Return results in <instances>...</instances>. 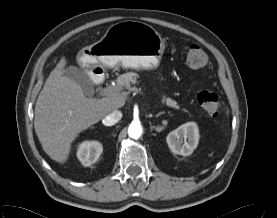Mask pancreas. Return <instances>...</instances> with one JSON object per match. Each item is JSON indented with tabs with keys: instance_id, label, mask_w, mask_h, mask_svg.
<instances>
[{
	"instance_id": "1",
	"label": "pancreas",
	"mask_w": 277,
	"mask_h": 218,
	"mask_svg": "<svg viewBox=\"0 0 277 218\" xmlns=\"http://www.w3.org/2000/svg\"><path fill=\"white\" fill-rule=\"evenodd\" d=\"M138 77L139 75L134 72L124 73L119 77H117V80H116L117 86L115 88H117L118 90H121L122 88H126L128 90H134V88L131 87V85L138 83L137 82ZM160 97H161V102L163 104H166L167 106L175 109L180 108L179 104L175 100L169 97H166L165 95H160Z\"/></svg>"
}]
</instances>
